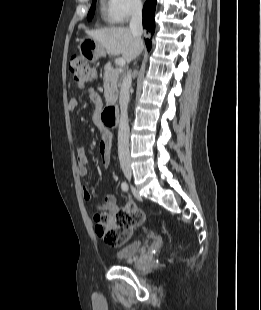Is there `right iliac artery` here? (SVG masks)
<instances>
[{
	"label": "right iliac artery",
	"mask_w": 261,
	"mask_h": 310,
	"mask_svg": "<svg viewBox=\"0 0 261 310\" xmlns=\"http://www.w3.org/2000/svg\"><path fill=\"white\" fill-rule=\"evenodd\" d=\"M121 188H122L123 191H128L129 186H128V184L126 182H122Z\"/></svg>",
	"instance_id": "right-iliac-artery-1"
}]
</instances>
